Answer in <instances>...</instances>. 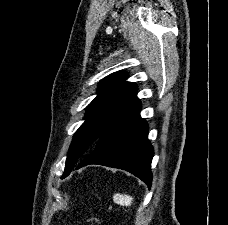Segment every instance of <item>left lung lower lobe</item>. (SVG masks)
Returning <instances> with one entry per match:
<instances>
[{
	"label": "left lung lower lobe",
	"mask_w": 228,
	"mask_h": 225,
	"mask_svg": "<svg viewBox=\"0 0 228 225\" xmlns=\"http://www.w3.org/2000/svg\"><path fill=\"white\" fill-rule=\"evenodd\" d=\"M141 103L109 127L93 150L76 166L98 164L126 170L151 187V161L154 150L148 136V124L140 117Z\"/></svg>",
	"instance_id": "0a47b994"
}]
</instances>
